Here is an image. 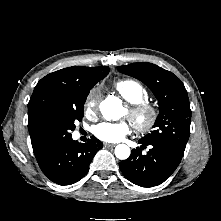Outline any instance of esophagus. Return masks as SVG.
Segmentation results:
<instances>
[{"label":"esophagus","mask_w":221,"mask_h":221,"mask_svg":"<svg viewBox=\"0 0 221 221\" xmlns=\"http://www.w3.org/2000/svg\"><path fill=\"white\" fill-rule=\"evenodd\" d=\"M103 146H104L105 148H110V147H115V144H111V143H106V142H104V143H103Z\"/></svg>","instance_id":"obj_1"}]
</instances>
